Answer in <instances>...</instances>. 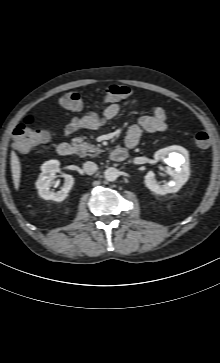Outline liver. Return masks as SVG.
I'll use <instances>...</instances> for the list:
<instances>
[{
    "instance_id": "6515ba94",
    "label": "liver",
    "mask_w": 220,
    "mask_h": 363,
    "mask_svg": "<svg viewBox=\"0 0 220 363\" xmlns=\"http://www.w3.org/2000/svg\"><path fill=\"white\" fill-rule=\"evenodd\" d=\"M11 172L14 187L16 190H18L21 178V164L17 154L14 151L11 153Z\"/></svg>"
}]
</instances>
